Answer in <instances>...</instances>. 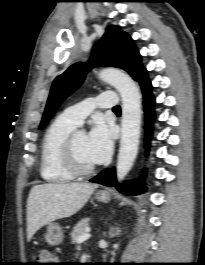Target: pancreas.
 Returning a JSON list of instances; mask_svg holds the SVG:
<instances>
[{"mask_svg": "<svg viewBox=\"0 0 205 265\" xmlns=\"http://www.w3.org/2000/svg\"><path fill=\"white\" fill-rule=\"evenodd\" d=\"M89 220V218H84L73 227V230L70 233L73 243L77 242L79 236L87 232V229L89 228Z\"/></svg>", "mask_w": 205, "mask_h": 265, "instance_id": "cf45deb5", "label": "pancreas"}]
</instances>
